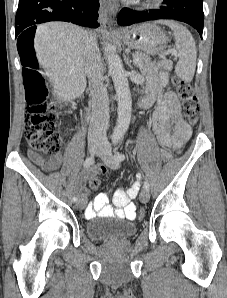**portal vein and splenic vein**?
<instances>
[{
	"instance_id": "1",
	"label": "portal vein and splenic vein",
	"mask_w": 227,
	"mask_h": 298,
	"mask_svg": "<svg viewBox=\"0 0 227 298\" xmlns=\"http://www.w3.org/2000/svg\"><path fill=\"white\" fill-rule=\"evenodd\" d=\"M170 53H173L175 56H178L177 52L172 51V50H167V51H165V52L163 53V56L168 55V54H170ZM139 61H140L139 57L134 55V56H133V62L136 64V63H138Z\"/></svg>"
}]
</instances>
